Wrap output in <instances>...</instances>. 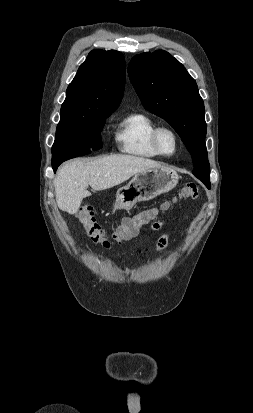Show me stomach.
<instances>
[{
    "instance_id": "stomach-1",
    "label": "stomach",
    "mask_w": 253,
    "mask_h": 413,
    "mask_svg": "<svg viewBox=\"0 0 253 413\" xmlns=\"http://www.w3.org/2000/svg\"><path fill=\"white\" fill-rule=\"evenodd\" d=\"M178 180L177 172L166 167L139 172L117 191L114 208L129 210L139 201H149L172 190Z\"/></svg>"
}]
</instances>
